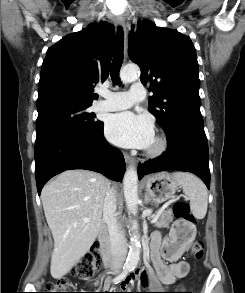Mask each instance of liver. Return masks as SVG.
I'll use <instances>...</instances> for the list:
<instances>
[{
	"label": "liver",
	"instance_id": "1",
	"mask_svg": "<svg viewBox=\"0 0 245 293\" xmlns=\"http://www.w3.org/2000/svg\"><path fill=\"white\" fill-rule=\"evenodd\" d=\"M110 184L96 172L67 170L44 186L41 200L55 247L50 267L53 278L70 272L94 243Z\"/></svg>",
	"mask_w": 245,
	"mask_h": 293
}]
</instances>
